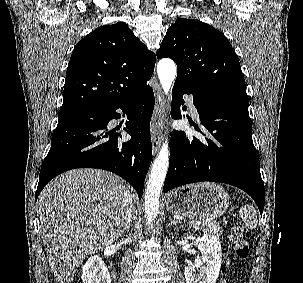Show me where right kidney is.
<instances>
[{"label":"right kidney","instance_id":"ca27d5eb","mask_svg":"<svg viewBox=\"0 0 303 283\" xmlns=\"http://www.w3.org/2000/svg\"><path fill=\"white\" fill-rule=\"evenodd\" d=\"M83 283H111L110 273L102 261L95 255L90 257L82 268Z\"/></svg>","mask_w":303,"mask_h":283}]
</instances>
